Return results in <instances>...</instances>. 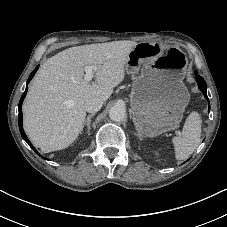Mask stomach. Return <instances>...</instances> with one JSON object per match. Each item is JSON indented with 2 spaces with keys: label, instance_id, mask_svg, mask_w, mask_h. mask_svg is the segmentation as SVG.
Listing matches in <instances>:
<instances>
[{
  "label": "stomach",
  "instance_id": "1",
  "mask_svg": "<svg viewBox=\"0 0 227 227\" xmlns=\"http://www.w3.org/2000/svg\"><path fill=\"white\" fill-rule=\"evenodd\" d=\"M125 69L136 75L130 102L139 134L155 137L176 128L190 100L183 83L187 70L185 54L159 43H137Z\"/></svg>",
  "mask_w": 227,
  "mask_h": 227
}]
</instances>
